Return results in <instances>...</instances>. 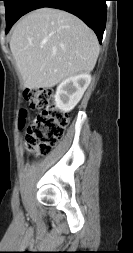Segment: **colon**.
<instances>
[{
    "label": "colon",
    "mask_w": 133,
    "mask_h": 253,
    "mask_svg": "<svg viewBox=\"0 0 133 253\" xmlns=\"http://www.w3.org/2000/svg\"><path fill=\"white\" fill-rule=\"evenodd\" d=\"M24 99L32 109L38 111L27 127L26 143L31 152L47 155L63 137L69 118L60 112L53 100V93L47 89H26ZM22 111L20 125H24Z\"/></svg>",
    "instance_id": "colon-1"
}]
</instances>
